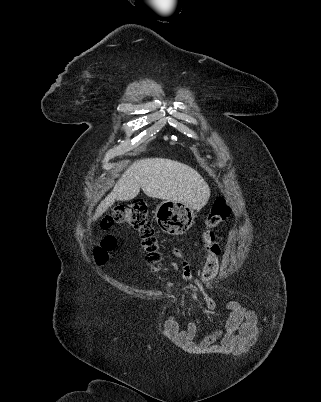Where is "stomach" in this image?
I'll list each match as a JSON object with an SVG mask.
<instances>
[{"mask_svg": "<svg viewBox=\"0 0 321 402\" xmlns=\"http://www.w3.org/2000/svg\"><path fill=\"white\" fill-rule=\"evenodd\" d=\"M194 218L195 209L183 202L164 200L155 211L159 227L170 235L184 234L192 226Z\"/></svg>", "mask_w": 321, "mask_h": 402, "instance_id": "0dacf381", "label": "stomach"}]
</instances>
